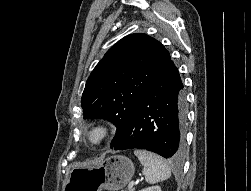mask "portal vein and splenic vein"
<instances>
[{
  "label": "portal vein and splenic vein",
  "instance_id": "obj_1",
  "mask_svg": "<svg viewBox=\"0 0 251 191\" xmlns=\"http://www.w3.org/2000/svg\"><path fill=\"white\" fill-rule=\"evenodd\" d=\"M137 181H141V179H137ZM134 183H136V181H131V182L129 183V185H126V188L133 187V186H134Z\"/></svg>",
  "mask_w": 251,
  "mask_h": 191
}]
</instances>
